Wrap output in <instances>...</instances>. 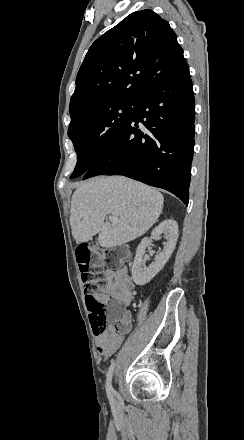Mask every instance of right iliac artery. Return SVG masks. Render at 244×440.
<instances>
[{
	"label": "right iliac artery",
	"mask_w": 244,
	"mask_h": 440,
	"mask_svg": "<svg viewBox=\"0 0 244 440\" xmlns=\"http://www.w3.org/2000/svg\"><path fill=\"white\" fill-rule=\"evenodd\" d=\"M114 367H115V363H114V361H112L111 365L109 366V369L107 372V379H106V392H107L110 404L112 406H115V401L113 398L114 389L111 384Z\"/></svg>",
	"instance_id": "82829eb1"
}]
</instances>
